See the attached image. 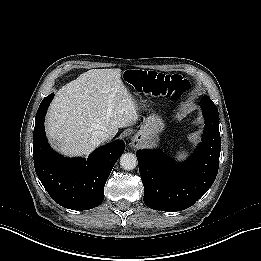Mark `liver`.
<instances>
[{
  "instance_id": "6515ba94",
  "label": "liver",
  "mask_w": 261,
  "mask_h": 261,
  "mask_svg": "<svg viewBox=\"0 0 261 261\" xmlns=\"http://www.w3.org/2000/svg\"><path fill=\"white\" fill-rule=\"evenodd\" d=\"M121 70L92 69L67 83L55 95L46 116V134L67 156L89 155L94 131L113 138L118 128L133 125L137 107L120 80Z\"/></svg>"
}]
</instances>
